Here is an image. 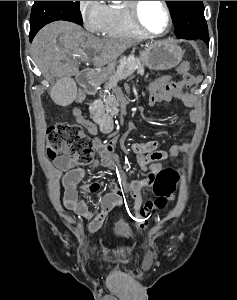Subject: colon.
<instances>
[{
  "label": "colon",
  "mask_w": 237,
  "mask_h": 300,
  "mask_svg": "<svg viewBox=\"0 0 237 300\" xmlns=\"http://www.w3.org/2000/svg\"><path fill=\"white\" fill-rule=\"evenodd\" d=\"M189 70V62L181 63L177 71L183 76V80L181 82H170L151 92L148 105H155L180 86L191 85L193 76L189 74ZM75 114L80 116L78 108L75 109ZM113 141L115 140L113 139L109 143H113ZM97 145L77 124L56 123L47 129L46 153L50 159L56 158L59 153H66L73 157L77 165H87L93 160ZM179 180V173L172 168H163L151 175L147 186H152L154 189L156 198L153 205L156 208H164L167 201L174 197Z\"/></svg>",
  "instance_id": "1"
}]
</instances>
